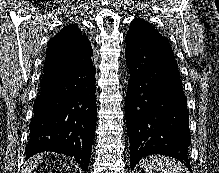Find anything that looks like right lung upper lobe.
I'll return each mask as SVG.
<instances>
[{"label": "right lung upper lobe", "mask_w": 219, "mask_h": 173, "mask_svg": "<svg viewBox=\"0 0 219 173\" xmlns=\"http://www.w3.org/2000/svg\"><path fill=\"white\" fill-rule=\"evenodd\" d=\"M85 55H92L91 44L75 25H67L48 41L46 60H51L56 66L67 64L73 56Z\"/></svg>", "instance_id": "1"}]
</instances>
